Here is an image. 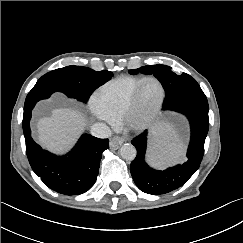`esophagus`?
<instances>
[{"label": "esophagus", "instance_id": "obj_1", "mask_svg": "<svg viewBox=\"0 0 243 243\" xmlns=\"http://www.w3.org/2000/svg\"><path fill=\"white\" fill-rule=\"evenodd\" d=\"M123 144V141L120 139H112L109 143L111 149H118Z\"/></svg>", "mask_w": 243, "mask_h": 243}]
</instances>
